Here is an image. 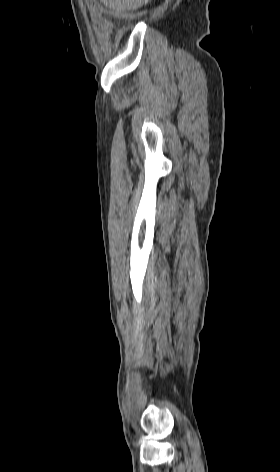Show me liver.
Returning a JSON list of instances; mask_svg holds the SVG:
<instances>
[{
  "label": "liver",
  "instance_id": "6515ba94",
  "mask_svg": "<svg viewBox=\"0 0 280 472\" xmlns=\"http://www.w3.org/2000/svg\"><path fill=\"white\" fill-rule=\"evenodd\" d=\"M110 9L116 11L136 10L149 0H101Z\"/></svg>",
  "mask_w": 280,
  "mask_h": 472
}]
</instances>
